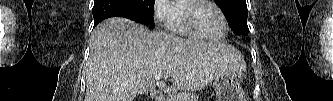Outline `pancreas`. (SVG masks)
Instances as JSON below:
<instances>
[{
	"label": "pancreas",
	"mask_w": 333,
	"mask_h": 101,
	"mask_svg": "<svg viewBox=\"0 0 333 101\" xmlns=\"http://www.w3.org/2000/svg\"><path fill=\"white\" fill-rule=\"evenodd\" d=\"M198 96L190 92H182L174 96H170L168 101H197Z\"/></svg>",
	"instance_id": "1"
}]
</instances>
